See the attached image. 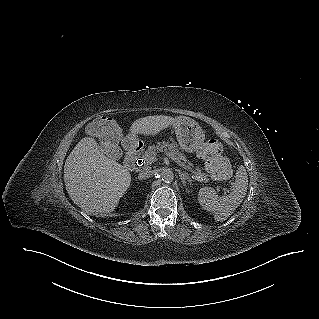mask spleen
<instances>
[{"mask_svg": "<svg viewBox=\"0 0 319 319\" xmlns=\"http://www.w3.org/2000/svg\"><path fill=\"white\" fill-rule=\"evenodd\" d=\"M248 188V175L244 166L237 170L235 183L232 184L231 193L218 197L211 187H203L198 192V202L202 208L214 214L216 221H224L242 203Z\"/></svg>", "mask_w": 319, "mask_h": 319, "instance_id": "3e777b00", "label": "spleen"}]
</instances>
